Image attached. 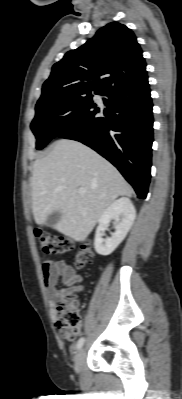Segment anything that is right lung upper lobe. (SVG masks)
Masks as SVG:
<instances>
[{
	"mask_svg": "<svg viewBox=\"0 0 182 399\" xmlns=\"http://www.w3.org/2000/svg\"><path fill=\"white\" fill-rule=\"evenodd\" d=\"M145 68L134 33L125 25L112 22L53 65L38 102L61 96L103 95L115 85L147 76Z\"/></svg>",
	"mask_w": 182,
	"mask_h": 399,
	"instance_id": "obj_1",
	"label": "right lung upper lobe"
}]
</instances>
